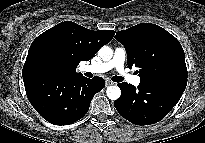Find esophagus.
<instances>
[{
    "label": "esophagus",
    "mask_w": 205,
    "mask_h": 143,
    "mask_svg": "<svg viewBox=\"0 0 205 143\" xmlns=\"http://www.w3.org/2000/svg\"><path fill=\"white\" fill-rule=\"evenodd\" d=\"M114 83L110 80H106V86H110V85H113Z\"/></svg>",
    "instance_id": "34e87169"
}]
</instances>
